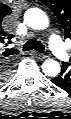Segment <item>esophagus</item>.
Segmentation results:
<instances>
[{
  "instance_id": "obj_1",
  "label": "esophagus",
  "mask_w": 71,
  "mask_h": 119,
  "mask_svg": "<svg viewBox=\"0 0 71 119\" xmlns=\"http://www.w3.org/2000/svg\"><path fill=\"white\" fill-rule=\"evenodd\" d=\"M32 54L36 56L38 59H44L46 57L44 54L38 53L36 51H33Z\"/></svg>"
}]
</instances>
